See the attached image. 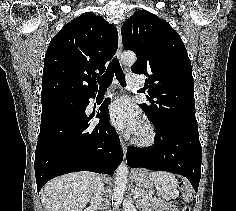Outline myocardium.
<instances>
[{
    "label": "myocardium",
    "instance_id": "1",
    "mask_svg": "<svg viewBox=\"0 0 236 211\" xmlns=\"http://www.w3.org/2000/svg\"><path fill=\"white\" fill-rule=\"evenodd\" d=\"M155 138V128L148 120L142 121L139 128L131 135V141L139 146H149L154 143Z\"/></svg>",
    "mask_w": 236,
    "mask_h": 211
}]
</instances>
